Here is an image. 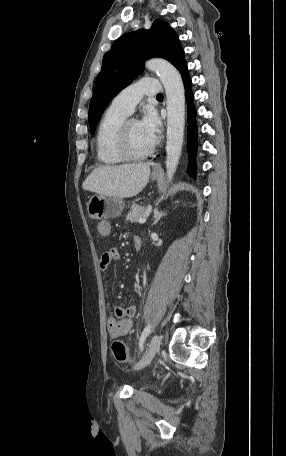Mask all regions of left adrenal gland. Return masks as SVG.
<instances>
[{
  "label": "left adrenal gland",
  "instance_id": "1",
  "mask_svg": "<svg viewBox=\"0 0 286 456\" xmlns=\"http://www.w3.org/2000/svg\"><path fill=\"white\" fill-rule=\"evenodd\" d=\"M166 215L165 212H159L157 207L154 209V222H153V225L157 224L158 221L164 216Z\"/></svg>",
  "mask_w": 286,
  "mask_h": 456
}]
</instances>
